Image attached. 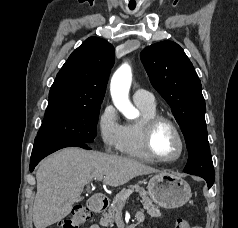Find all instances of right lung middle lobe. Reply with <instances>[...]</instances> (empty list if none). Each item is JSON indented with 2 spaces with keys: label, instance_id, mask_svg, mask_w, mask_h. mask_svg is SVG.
Returning a JSON list of instances; mask_svg holds the SVG:
<instances>
[{
  "label": "right lung middle lobe",
  "instance_id": "dd1d6c3e",
  "mask_svg": "<svg viewBox=\"0 0 238 228\" xmlns=\"http://www.w3.org/2000/svg\"><path fill=\"white\" fill-rule=\"evenodd\" d=\"M100 105L45 113L35 143L76 140L91 143L97 135Z\"/></svg>",
  "mask_w": 238,
  "mask_h": 228
}]
</instances>
